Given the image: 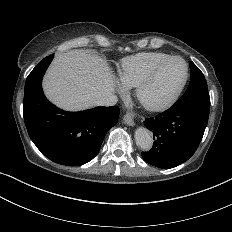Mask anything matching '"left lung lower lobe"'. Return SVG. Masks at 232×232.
I'll return each instance as SVG.
<instances>
[{"mask_svg":"<svg viewBox=\"0 0 232 232\" xmlns=\"http://www.w3.org/2000/svg\"><path fill=\"white\" fill-rule=\"evenodd\" d=\"M208 117L190 109L169 108L154 118H147L145 126L153 132V147L142 152L143 159L158 168L170 169L187 161L197 150Z\"/></svg>","mask_w":232,"mask_h":232,"instance_id":"1","label":"left lung lower lobe"}]
</instances>
